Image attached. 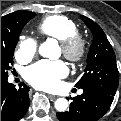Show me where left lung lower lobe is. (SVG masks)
<instances>
[{
    "mask_svg": "<svg viewBox=\"0 0 121 121\" xmlns=\"http://www.w3.org/2000/svg\"><path fill=\"white\" fill-rule=\"evenodd\" d=\"M114 96L95 89H84L73 98L69 111L57 113L60 121H97L110 108Z\"/></svg>",
    "mask_w": 121,
    "mask_h": 121,
    "instance_id": "1",
    "label": "left lung lower lobe"
}]
</instances>
